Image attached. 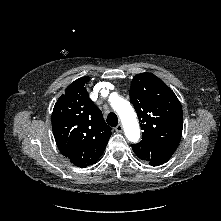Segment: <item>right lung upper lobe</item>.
I'll return each instance as SVG.
<instances>
[{"label": "right lung upper lobe", "mask_w": 221, "mask_h": 221, "mask_svg": "<svg viewBox=\"0 0 221 221\" xmlns=\"http://www.w3.org/2000/svg\"><path fill=\"white\" fill-rule=\"evenodd\" d=\"M88 81L85 76L69 85L52 113V130L59 150L81 168L97 162L111 136L101 110L86 92Z\"/></svg>", "instance_id": "obj_1"}]
</instances>
